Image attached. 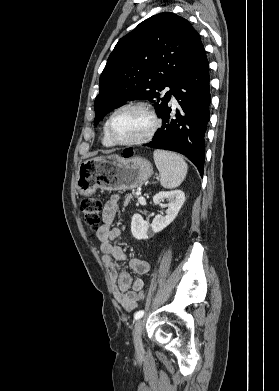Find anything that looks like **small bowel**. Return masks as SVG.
Returning a JSON list of instances; mask_svg holds the SVG:
<instances>
[{
  "mask_svg": "<svg viewBox=\"0 0 279 391\" xmlns=\"http://www.w3.org/2000/svg\"><path fill=\"white\" fill-rule=\"evenodd\" d=\"M118 209V196H113L105 205L103 224L96 235L103 253L102 262L107 266L113 284L114 296L126 311L131 312L138 306V293L143 290L144 281L142 279L132 281L131 275L123 269L122 264L127 262L129 267L139 275L146 274L150 265L145 260L128 258L125 253L119 242L123 227L113 226Z\"/></svg>",
  "mask_w": 279,
  "mask_h": 391,
  "instance_id": "c3829d8e",
  "label": "small bowel"
}]
</instances>
